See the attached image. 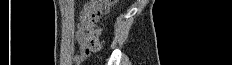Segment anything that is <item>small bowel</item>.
Here are the masks:
<instances>
[{"instance_id": "small-bowel-1", "label": "small bowel", "mask_w": 232, "mask_h": 65, "mask_svg": "<svg viewBox=\"0 0 232 65\" xmlns=\"http://www.w3.org/2000/svg\"><path fill=\"white\" fill-rule=\"evenodd\" d=\"M76 39L78 41L79 47H80V54L75 58V61L77 63L81 62L88 53V40H87V33L82 25L80 23L78 31L76 33Z\"/></svg>"}]
</instances>
